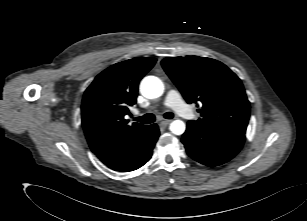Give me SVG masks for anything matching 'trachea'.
Listing matches in <instances>:
<instances>
[{"mask_svg":"<svg viewBox=\"0 0 307 221\" xmlns=\"http://www.w3.org/2000/svg\"><path fill=\"white\" fill-rule=\"evenodd\" d=\"M173 117H174V115L171 112H166L164 114V118H166V119H172ZM135 120L142 122L144 124H150V123H153L155 121V115L148 113V114H145L142 117H136Z\"/></svg>","mask_w":307,"mask_h":221,"instance_id":"3493384b","label":"trachea"}]
</instances>
